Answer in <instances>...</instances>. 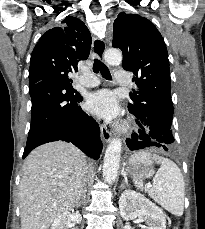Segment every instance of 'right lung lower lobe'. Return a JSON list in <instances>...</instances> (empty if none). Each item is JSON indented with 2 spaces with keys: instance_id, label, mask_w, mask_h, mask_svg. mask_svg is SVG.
<instances>
[{
  "instance_id": "obj_1",
  "label": "right lung lower lobe",
  "mask_w": 205,
  "mask_h": 229,
  "mask_svg": "<svg viewBox=\"0 0 205 229\" xmlns=\"http://www.w3.org/2000/svg\"><path fill=\"white\" fill-rule=\"evenodd\" d=\"M31 126L23 158L47 142H71L86 155L98 159L102 150L98 124L80 107L81 95L56 80L29 86Z\"/></svg>"
}]
</instances>
